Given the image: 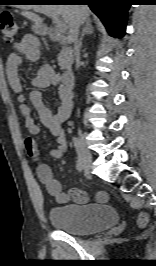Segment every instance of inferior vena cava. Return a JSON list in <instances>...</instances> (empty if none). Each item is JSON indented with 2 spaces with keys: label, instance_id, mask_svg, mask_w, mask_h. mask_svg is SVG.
Wrapping results in <instances>:
<instances>
[{
  "label": "inferior vena cava",
  "instance_id": "602c4592",
  "mask_svg": "<svg viewBox=\"0 0 156 266\" xmlns=\"http://www.w3.org/2000/svg\"><path fill=\"white\" fill-rule=\"evenodd\" d=\"M79 27L80 24L77 22L73 28L72 31V41L74 43V54L76 57V66L77 68L79 67L80 61H79V53H80V42L78 39V35H79Z\"/></svg>",
  "mask_w": 156,
  "mask_h": 266
}]
</instances>
